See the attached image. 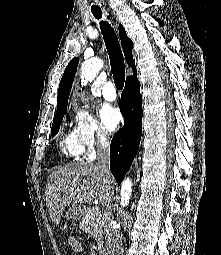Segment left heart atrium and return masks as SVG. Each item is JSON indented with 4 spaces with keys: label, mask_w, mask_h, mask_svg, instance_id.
<instances>
[{
    "label": "left heart atrium",
    "mask_w": 221,
    "mask_h": 255,
    "mask_svg": "<svg viewBox=\"0 0 221 255\" xmlns=\"http://www.w3.org/2000/svg\"><path fill=\"white\" fill-rule=\"evenodd\" d=\"M100 119L107 130L113 131L121 122V114L116 107L105 104L100 109Z\"/></svg>",
    "instance_id": "left-heart-atrium-1"
}]
</instances>
